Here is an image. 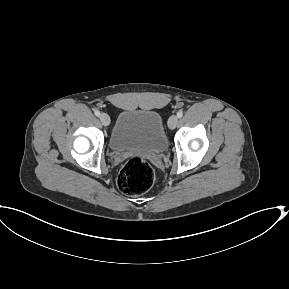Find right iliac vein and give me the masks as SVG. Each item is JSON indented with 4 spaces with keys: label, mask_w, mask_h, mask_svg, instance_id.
I'll return each instance as SVG.
<instances>
[{
    "label": "right iliac vein",
    "mask_w": 289,
    "mask_h": 289,
    "mask_svg": "<svg viewBox=\"0 0 289 289\" xmlns=\"http://www.w3.org/2000/svg\"><path fill=\"white\" fill-rule=\"evenodd\" d=\"M100 121L104 126H108L110 124V117L106 113L100 114Z\"/></svg>",
    "instance_id": "right-iliac-vein-1"
}]
</instances>
